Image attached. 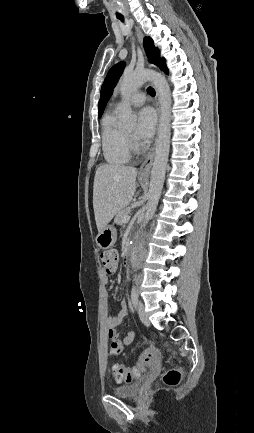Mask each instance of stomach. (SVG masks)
<instances>
[{
	"label": "stomach",
	"mask_w": 254,
	"mask_h": 433,
	"mask_svg": "<svg viewBox=\"0 0 254 433\" xmlns=\"http://www.w3.org/2000/svg\"><path fill=\"white\" fill-rule=\"evenodd\" d=\"M142 182V180H141ZM117 233L112 225L106 226L96 237L97 245L102 249H108L116 242Z\"/></svg>",
	"instance_id": "obj_1"
}]
</instances>
